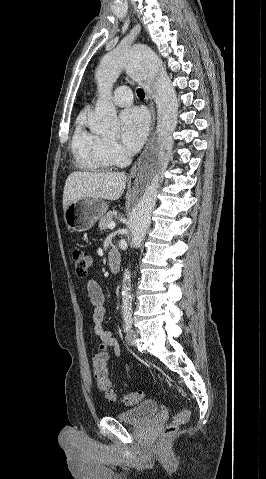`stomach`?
I'll return each mask as SVG.
<instances>
[{"instance_id":"stomach-1","label":"stomach","mask_w":266,"mask_h":479,"mask_svg":"<svg viewBox=\"0 0 266 479\" xmlns=\"http://www.w3.org/2000/svg\"><path fill=\"white\" fill-rule=\"evenodd\" d=\"M107 203L97 199L82 198L72 202L64 211V220L68 228L76 232L89 230L95 222L104 216Z\"/></svg>"}]
</instances>
